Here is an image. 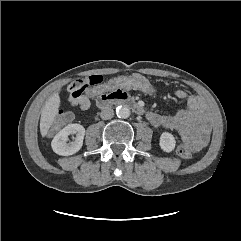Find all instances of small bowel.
Here are the masks:
<instances>
[{"mask_svg": "<svg viewBox=\"0 0 241 241\" xmlns=\"http://www.w3.org/2000/svg\"><path fill=\"white\" fill-rule=\"evenodd\" d=\"M136 75L142 76L141 74ZM67 90L69 93L70 85ZM175 95L186 101L185 108L172 114L149 111L146 118L154 127L177 130L183 143L189 149L198 151L209 141L211 122L207 108L199 96L188 94L184 90H177ZM69 102L72 105H79L82 111L90 108L89 96L73 98L69 94Z\"/></svg>", "mask_w": 241, "mask_h": 241, "instance_id": "c3829d8e", "label": "small bowel"}]
</instances>
